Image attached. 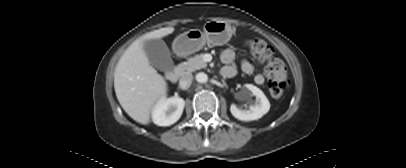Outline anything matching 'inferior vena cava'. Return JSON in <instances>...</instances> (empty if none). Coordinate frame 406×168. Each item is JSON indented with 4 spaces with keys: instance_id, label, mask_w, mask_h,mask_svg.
I'll return each mask as SVG.
<instances>
[{
    "instance_id": "602c4592",
    "label": "inferior vena cava",
    "mask_w": 406,
    "mask_h": 168,
    "mask_svg": "<svg viewBox=\"0 0 406 168\" xmlns=\"http://www.w3.org/2000/svg\"><path fill=\"white\" fill-rule=\"evenodd\" d=\"M193 80V75L187 73L180 78L179 84L182 89H187L190 87Z\"/></svg>"
}]
</instances>
